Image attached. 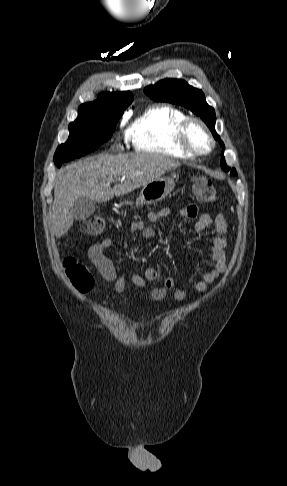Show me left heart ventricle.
<instances>
[{"instance_id":"b2bd125f","label":"left heart ventricle","mask_w":287,"mask_h":486,"mask_svg":"<svg viewBox=\"0 0 287 486\" xmlns=\"http://www.w3.org/2000/svg\"><path fill=\"white\" fill-rule=\"evenodd\" d=\"M189 138L191 143L200 150H206L209 147V141L201 129L197 126H192L189 131Z\"/></svg>"}]
</instances>
